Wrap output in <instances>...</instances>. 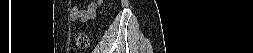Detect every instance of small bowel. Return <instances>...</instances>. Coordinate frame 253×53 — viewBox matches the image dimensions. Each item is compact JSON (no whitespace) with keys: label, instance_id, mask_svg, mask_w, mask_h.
Listing matches in <instances>:
<instances>
[{"label":"small bowel","instance_id":"small-bowel-1","mask_svg":"<svg viewBox=\"0 0 253 53\" xmlns=\"http://www.w3.org/2000/svg\"><path fill=\"white\" fill-rule=\"evenodd\" d=\"M97 4L91 2L87 7L74 6L71 10V16L76 21H88L95 16Z\"/></svg>","mask_w":253,"mask_h":53}]
</instances>
